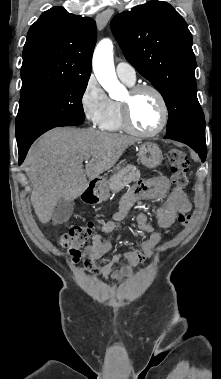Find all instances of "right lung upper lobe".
<instances>
[{
    "instance_id": "1",
    "label": "right lung upper lobe",
    "mask_w": 221,
    "mask_h": 379,
    "mask_svg": "<svg viewBox=\"0 0 221 379\" xmlns=\"http://www.w3.org/2000/svg\"><path fill=\"white\" fill-rule=\"evenodd\" d=\"M97 39L95 21L63 7L42 13L30 27L23 49L22 88L89 78Z\"/></svg>"
}]
</instances>
